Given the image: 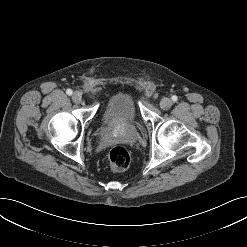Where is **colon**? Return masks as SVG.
Listing matches in <instances>:
<instances>
[{"instance_id": "colon-1", "label": "colon", "mask_w": 247, "mask_h": 247, "mask_svg": "<svg viewBox=\"0 0 247 247\" xmlns=\"http://www.w3.org/2000/svg\"><path fill=\"white\" fill-rule=\"evenodd\" d=\"M109 161L112 169L125 170L130 164V154L122 146H115L109 152Z\"/></svg>"}]
</instances>
